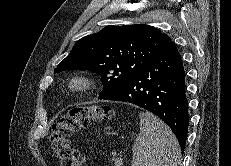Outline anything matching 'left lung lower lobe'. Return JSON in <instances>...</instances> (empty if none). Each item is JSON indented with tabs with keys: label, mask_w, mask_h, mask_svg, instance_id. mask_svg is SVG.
<instances>
[{
	"label": "left lung lower lobe",
	"mask_w": 231,
	"mask_h": 166,
	"mask_svg": "<svg viewBox=\"0 0 231 166\" xmlns=\"http://www.w3.org/2000/svg\"><path fill=\"white\" fill-rule=\"evenodd\" d=\"M103 99L129 102L157 115L172 129L184 151L189 126L185 71L172 41L153 61Z\"/></svg>",
	"instance_id": "0a47b994"
}]
</instances>
